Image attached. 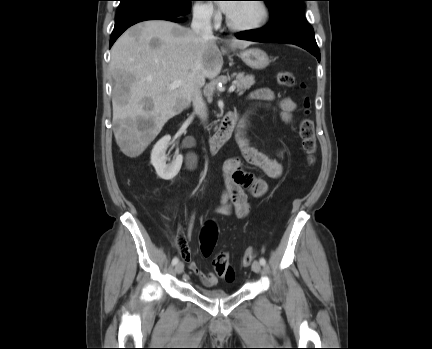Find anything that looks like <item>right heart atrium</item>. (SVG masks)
I'll list each match as a JSON object with an SVG mask.
<instances>
[{
	"label": "right heart atrium",
	"instance_id": "obj_1",
	"mask_svg": "<svg viewBox=\"0 0 432 349\" xmlns=\"http://www.w3.org/2000/svg\"><path fill=\"white\" fill-rule=\"evenodd\" d=\"M194 16L204 22H215L219 18V13L214 5L209 1L196 2L193 6Z\"/></svg>",
	"mask_w": 432,
	"mask_h": 349
}]
</instances>
